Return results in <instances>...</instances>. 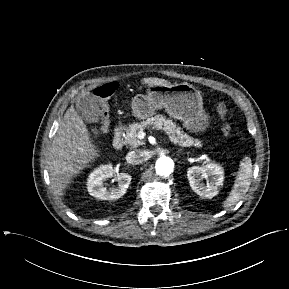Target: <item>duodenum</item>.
I'll use <instances>...</instances> for the list:
<instances>
[{"instance_id":"obj_1","label":"duodenum","mask_w":289,"mask_h":289,"mask_svg":"<svg viewBox=\"0 0 289 289\" xmlns=\"http://www.w3.org/2000/svg\"><path fill=\"white\" fill-rule=\"evenodd\" d=\"M123 130L122 126H118L114 131L113 146L117 150L121 149L124 145Z\"/></svg>"}]
</instances>
